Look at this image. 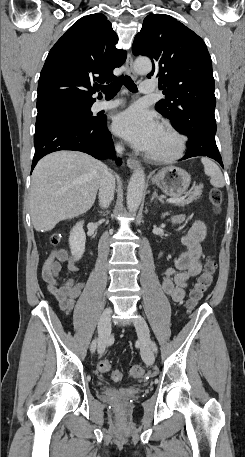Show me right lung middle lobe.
Returning a JSON list of instances; mask_svg holds the SVG:
<instances>
[{"label": "right lung middle lobe", "instance_id": "right-lung-middle-lobe-1", "mask_svg": "<svg viewBox=\"0 0 245 457\" xmlns=\"http://www.w3.org/2000/svg\"><path fill=\"white\" fill-rule=\"evenodd\" d=\"M94 101L90 100H76V101H69L61 104L57 108L38 112L37 119L54 114H63V113H72L77 115H82L86 118L92 117V112L90 108Z\"/></svg>", "mask_w": 245, "mask_h": 457}]
</instances>
